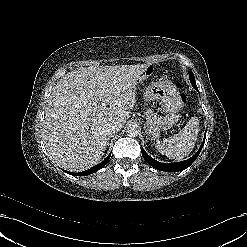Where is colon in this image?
Masks as SVG:
<instances>
[{"label": "colon", "instance_id": "1", "mask_svg": "<svg viewBox=\"0 0 247 247\" xmlns=\"http://www.w3.org/2000/svg\"><path fill=\"white\" fill-rule=\"evenodd\" d=\"M185 101H186V97H185V95L183 93H181L180 96H179L180 104H184Z\"/></svg>", "mask_w": 247, "mask_h": 247}]
</instances>
